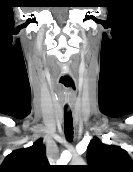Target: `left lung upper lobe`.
<instances>
[{"mask_svg":"<svg viewBox=\"0 0 133 172\" xmlns=\"http://www.w3.org/2000/svg\"><path fill=\"white\" fill-rule=\"evenodd\" d=\"M85 172H133V161L121 147L103 144L93 138L87 147Z\"/></svg>","mask_w":133,"mask_h":172,"instance_id":"obj_1","label":"left lung upper lobe"}]
</instances>
